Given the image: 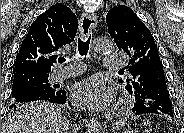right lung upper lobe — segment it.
<instances>
[{"mask_svg": "<svg viewBox=\"0 0 184 133\" xmlns=\"http://www.w3.org/2000/svg\"><path fill=\"white\" fill-rule=\"evenodd\" d=\"M77 28V17L70 8L59 3L52 5L31 24L17 53L14 75H49L56 53L74 40Z\"/></svg>", "mask_w": 184, "mask_h": 133, "instance_id": "cb5924a9", "label": "right lung upper lobe"}]
</instances>
